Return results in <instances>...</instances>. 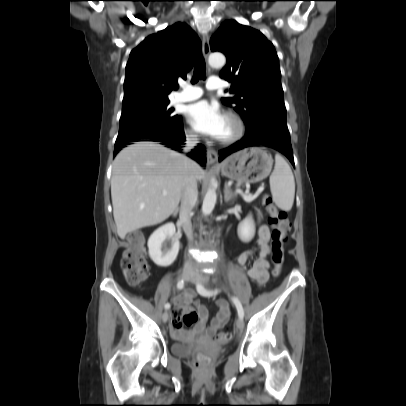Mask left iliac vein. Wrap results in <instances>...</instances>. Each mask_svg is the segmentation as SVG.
I'll use <instances>...</instances> for the list:
<instances>
[{"label": "left iliac vein", "instance_id": "1", "mask_svg": "<svg viewBox=\"0 0 406 406\" xmlns=\"http://www.w3.org/2000/svg\"><path fill=\"white\" fill-rule=\"evenodd\" d=\"M191 282H196L197 284H201L205 282V278L201 276L199 273H195L191 279ZM236 327L238 330H242L244 328V322L243 319L239 318L236 321Z\"/></svg>", "mask_w": 406, "mask_h": 406}]
</instances>
